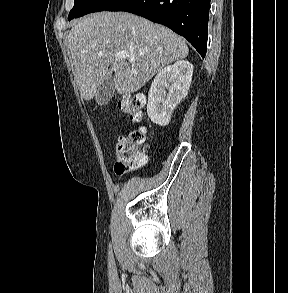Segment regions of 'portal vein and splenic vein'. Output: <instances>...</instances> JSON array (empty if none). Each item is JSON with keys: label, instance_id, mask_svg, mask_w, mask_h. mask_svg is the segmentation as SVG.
Wrapping results in <instances>:
<instances>
[{"label": "portal vein and splenic vein", "instance_id": "1", "mask_svg": "<svg viewBox=\"0 0 288 293\" xmlns=\"http://www.w3.org/2000/svg\"><path fill=\"white\" fill-rule=\"evenodd\" d=\"M120 58H126L128 60H134L135 56L133 54H129V52H121L117 54Z\"/></svg>", "mask_w": 288, "mask_h": 293}]
</instances>
